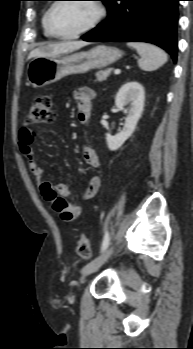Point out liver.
<instances>
[{
  "label": "liver",
  "instance_id": "obj_1",
  "mask_svg": "<svg viewBox=\"0 0 193 349\" xmlns=\"http://www.w3.org/2000/svg\"><path fill=\"white\" fill-rule=\"evenodd\" d=\"M88 43L84 41H66L60 43H47L34 50L28 56V59L37 57H56L62 54L76 51Z\"/></svg>",
  "mask_w": 193,
  "mask_h": 349
}]
</instances>
